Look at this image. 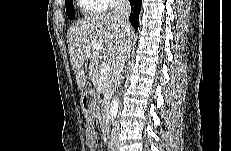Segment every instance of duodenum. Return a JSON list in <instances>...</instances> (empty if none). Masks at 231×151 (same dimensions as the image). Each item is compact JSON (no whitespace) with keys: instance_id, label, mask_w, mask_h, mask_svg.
I'll return each instance as SVG.
<instances>
[{"instance_id":"duodenum-1","label":"duodenum","mask_w":231,"mask_h":151,"mask_svg":"<svg viewBox=\"0 0 231 151\" xmlns=\"http://www.w3.org/2000/svg\"><path fill=\"white\" fill-rule=\"evenodd\" d=\"M108 118H109V101H105L102 111L101 123L102 126L105 128L108 125Z\"/></svg>"}]
</instances>
